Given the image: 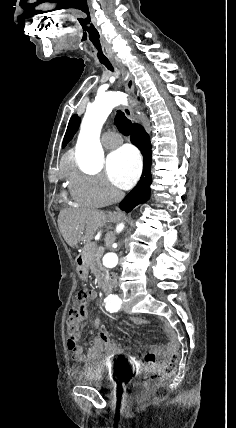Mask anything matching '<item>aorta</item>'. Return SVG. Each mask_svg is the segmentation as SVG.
I'll use <instances>...</instances> for the list:
<instances>
[{
  "label": "aorta",
  "mask_w": 236,
  "mask_h": 428,
  "mask_svg": "<svg viewBox=\"0 0 236 428\" xmlns=\"http://www.w3.org/2000/svg\"><path fill=\"white\" fill-rule=\"evenodd\" d=\"M127 103V96L122 92H107L98 95L86 109L76 144L78 162L87 170L95 171L102 165L104 152L100 143V133L104 122L112 109ZM124 224L120 223L116 231L121 232ZM119 262L116 253L108 252L103 257L105 267L113 268Z\"/></svg>",
  "instance_id": "aorta-1"
}]
</instances>
